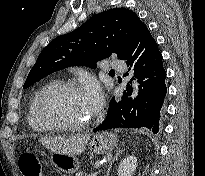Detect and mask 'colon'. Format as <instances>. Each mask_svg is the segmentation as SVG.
<instances>
[{
	"mask_svg": "<svg viewBox=\"0 0 205 176\" xmlns=\"http://www.w3.org/2000/svg\"><path fill=\"white\" fill-rule=\"evenodd\" d=\"M19 168L23 176H42L41 161L30 153H24L19 158Z\"/></svg>",
	"mask_w": 205,
	"mask_h": 176,
	"instance_id": "1",
	"label": "colon"
}]
</instances>
